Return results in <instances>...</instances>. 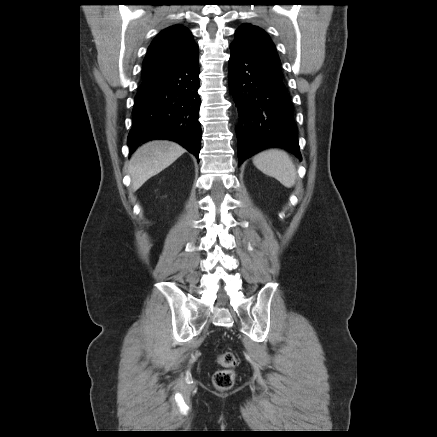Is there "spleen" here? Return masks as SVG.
<instances>
[{
  "label": "spleen",
  "mask_w": 437,
  "mask_h": 437,
  "mask_svg": "<svg viewBox=\"0 0 437 437\" xmlns=\"http://www.w3.org/2000/svg\"><path fill=\"white\" fill-rule=\"evenodd\" d=\"M253 164L264 174L275 178L286 188L295 185L297 171L290 156L279 149H269L254 156Z\"/></svg>",
  "instance_id": "1"
}]
</instances>
